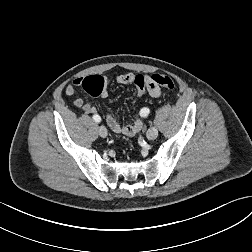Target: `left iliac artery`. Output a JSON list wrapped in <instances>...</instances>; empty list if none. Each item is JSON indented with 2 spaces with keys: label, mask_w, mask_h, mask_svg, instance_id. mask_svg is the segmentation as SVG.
Wrapping results in <instances>:
<instances>
[{
  "label": "left iliac artery",
  "mask_w": 252,
  "mask_h": 252,
  "mask_svg": "<svg viewBox=\"0 0 252 252\" xmlns=\"http://www.w3.org/2000/svg\"><path fill=\"white\" fill-rule=\"evenodd\" d=\"M139 117L140 119L144 120V123H148V120H145L148 117V109L142 108L139 112Z\"/></svg>",
  "instance_id": "left-iliac-artery-1"
}]
</instances>
